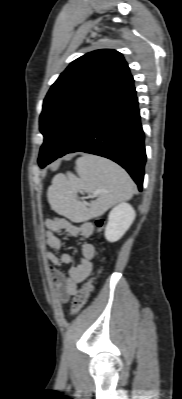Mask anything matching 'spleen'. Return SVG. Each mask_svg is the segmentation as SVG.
I'll return each instance as SVG.
<instances>
[{
    "mask_svg": "<svg viewBox=\"0 0 182 399\" xmlns=\"http://www.w3.org/2000/svg\"><path fill=\"white\" fill-rule=\"evenodd\" d=\"M75 164L78 176L71 172L56 175L47 193L52 209L73 222L100 216L135 193V185L128 173L108 159L83 155ZM79 192L93 193L97 199L84 204L77 199Z\"/></svg>",
    "mask_w": 182,
    "mask_h": 399,
    "instance_id": "obj_1",
    "label": "spleen"
}]
</instances>
